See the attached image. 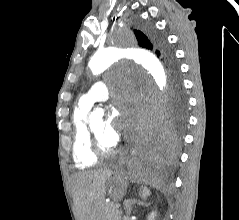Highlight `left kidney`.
<instances>
[{
	"instance_id": "obj_1",
	"label": "left kidney",
	"mask_w": 239,
	"mask_h": 220,
	"mask_svg": "<svg viewBox=\"0 0 239 220\" xmlns=\"http://www.w3.org/2000/svg\"><path fill=\"white\" fill-rule=\"evenodd\" d=\"M156 211H152L149 215H148V220H155L156 217Z\"/></svg>"
}]
</instances>
